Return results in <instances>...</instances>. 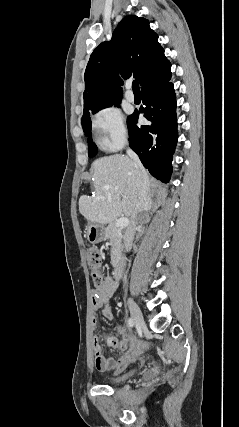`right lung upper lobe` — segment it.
<instances>
[{
  "label": "right lung upper lobe",
  "mask_w": 239,
  "mask_h": 427,
  "mask_svg": "<svg viewBox=\"0 0 239 427\" xmlns=\"http://www.w3.org/2000/svg\"><path fill=\"white\" fill-rule=\"evenodd\" d=\"M170 71L171 63L149 21L135 15L123 18L111 41L101 43L90 56L85 70L83 116L89 109L121 101L118 72L124 79L133 74L143 87Z\"/></svg>",
  "instance_id": "cb5924a9"
}]
</instances>
